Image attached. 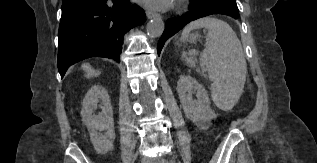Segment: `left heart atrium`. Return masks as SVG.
Segmentation results:
<instances>
[{
    "label": "left heart atrium",
    "mask_w": 317,
    "mask_h": 163,
    "mask_svg": "<svg viewBox=\"0 0 317 163\" xmlns=\"http://www.w3.org/2000/svg\"><path fill=\"white\" fill-rule=\"evenodd\" d=\"M140 2L154 8H165L170 3V0H139Z\"/></svg>",
    "instance_id": "obj_1"
}]
</instances>
